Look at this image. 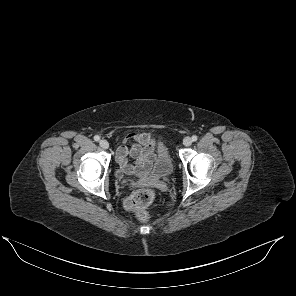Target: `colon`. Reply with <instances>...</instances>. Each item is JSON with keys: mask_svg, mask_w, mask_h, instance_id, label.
<instances>
[{"mask_svg": "<svg viewBox=\"0 0 296 296\" xmlns=\"http://www.w3.org/2000/svg\"><path fill=\"white\" fill-rule=\"evenodd\" d=\"M154 194L149 189L133 192L126 200V208L135 212L141 219H147L146 208L152 203Z\"/></svg>", "mask_w": 296, "mask_h": 296, "instance_id": "obj_1", "label": "colon"}]
</instances>
